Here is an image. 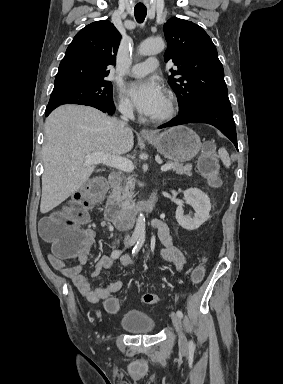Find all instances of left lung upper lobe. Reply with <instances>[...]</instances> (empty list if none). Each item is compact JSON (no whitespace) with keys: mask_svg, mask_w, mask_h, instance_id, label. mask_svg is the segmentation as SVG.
Listing matches in <instances>:
<instances>
[{"mask_svg":"<svg viewBox=\"0 0 283 384\" xmlns=\"http://www.w3.org/2000/svg\"><path fill=\"white\" fill-rule=\"evenodd\" d=\"M163 29L168 42L164 60L178 68L171 70L168 82L178 97L179 114L204 104L229 102L223 66L204 29L179 18L169 19Z\"/></svg>","mask_w":283,"mask_h":384,"instance_id":"left-lung-upper-lobe-1","label":"left lung upper lobe"}]
</instances>
